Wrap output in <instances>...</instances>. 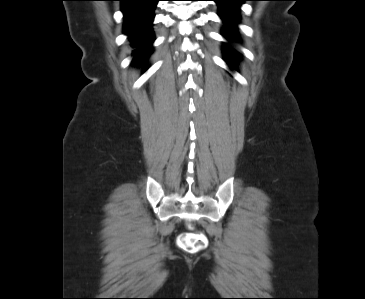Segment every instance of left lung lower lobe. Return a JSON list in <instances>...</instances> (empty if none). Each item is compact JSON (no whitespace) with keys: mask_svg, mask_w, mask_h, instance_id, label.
I'll return each instance as SVG.
<instances>
[{"mask_svg":"<svg viewBox=\"0 0 365 299\" xmlns=\"http://www.w3.org/2000/svg\"><path fill=\"white\" fill-rule=\"evenodd\" d=\"M219 6V16L223 19L225 27L223 29V36L229 40L238 39L236 32V24L240 19L239 6L248 0H213ZM224 55L227 57V63L236 69V61L239 55L230 49H223Z\"/></svg>","mask_w":365,"mask_h":299,"instance_id":"left-lung-lower-lobe-1","label":"left lung lower lobe"}]
</instances>
